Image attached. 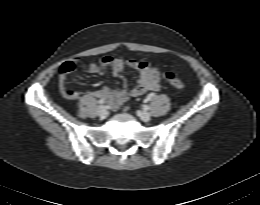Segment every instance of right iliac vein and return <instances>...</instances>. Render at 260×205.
<instances>
[{"mask_svg": "<svg viewBox=\"0 0 260 205\" xmlns=\"http://www.w3.org/2000/svg\"><path fill=\"white\" fill-rule=\"evenodd\" d=\"M97 114H98V116L100 117V118H106L107 117V115H108V111H107V109H106V107H104V106H99L98 107V110H97Z\"/></svg>", "mask_w": 260, "mask_h": 205, "instance_id": "63e3f726", "label": "right iliac vein"}]
</instances>
